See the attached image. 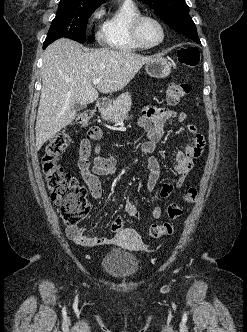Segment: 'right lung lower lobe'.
<instances>
[{"label":"right lung lower lobe","instance_id":"right-lung-lower-lobe-1","mask_svg":"<svg viewBox=\"0 0 247 332\" xmlns=\"http://www.w3.org/2000/svg\"><path fill=\"white\" fill-rule=\"evenodd\" d=\"M57 37H51V38H46L44 44H43V48L45 49L50 43H52L53 41L56 40Z\"/></svg>","mask_w":247,"mask_h":332}]
</instances>
